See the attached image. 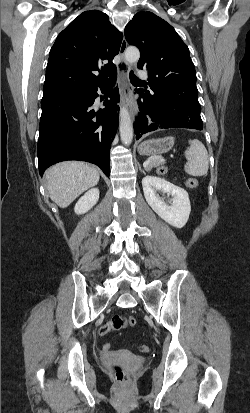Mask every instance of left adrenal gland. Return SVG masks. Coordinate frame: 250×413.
<instances>
[{
    "instance_id": "a2214340",
    "label": "left adrenal gland",
    "mask_w": 250,
    "mask_h": 413,
    "mask_svg": "<svg viewBox=\"0 0 250 413\" xmlns=\"http://www.w3.org/2000/svg\"><path fill=\"white\" fill-rule=\"evenodd\" d=\"M146 170H147V169H146ZM140 171L143 172V173H145L144 170H142L141 168H140Z\"/></svg>"
}]
</instances>
